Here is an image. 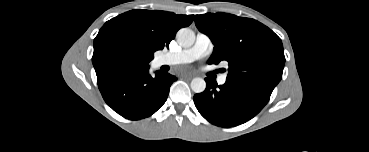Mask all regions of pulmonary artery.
Segmentation results:
<instances>
[{
    "instance_id": "pulmonary-artery-1",
    "label": "pulmonary artery",
    "mask_w": 369,
    "mask_h": 152,
    "mask_svg": "<svg viewBox=\"0 0 369 152\" xmlns=\"http://www.w3.org/2000/svg\"><path fill=\"white\" fill-rule=\"evenodd\" d=\"M213 44L211 39L203 33L197 34L194 45L188 49H184L174 53H166L157 59L158 65H177L191 63L199 57L211 53ZM226 75L218 78L220 85L225 84Z\"/></svg>"
}]
</instances>
